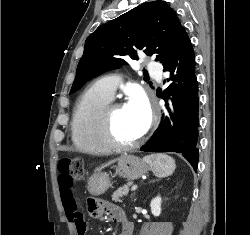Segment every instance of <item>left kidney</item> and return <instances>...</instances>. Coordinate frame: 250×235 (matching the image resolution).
Masks as SVG:
<instances>
[{"label":"left kidney","instance_id":"left-kidney-1","mask_svg":"<svg viewBox=\"0 0 250 235\" xmlns=\"http://www.w3.org/2000/svg\"><path fill=\"white\" fill-rule=\"evenodd\" d=\"M161 203H162V199L160 196H157L154 199H152L150 203L151 212L156 217L161 214Z\"/></svg>","mask_w":250,"mask_h":235}]
</instances>
